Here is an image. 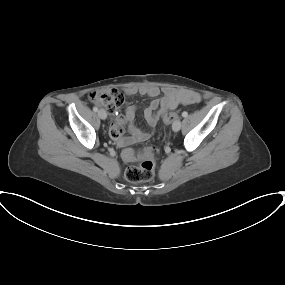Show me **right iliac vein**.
Segmentation results:
<instances>
[{
    "instance_id": "right-iliac-vein-1",
    "label": "right iliac vein",
    "mask_w": 285,
    "mask_h": 285,
    "mask_svg": "<svg viewBox=\"0 0 285 285\" xmlns=\"http://www.w3.org/2000/svg\"><path fill=\"white\" fill-rule=\"evenodd\" d=\"M98 116H99L100 119L105 120V119L107 118V113H106L105 110L100 109V110L98 111Z\"/></svg>"
}]
</instances>
